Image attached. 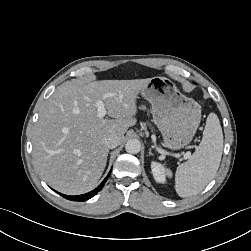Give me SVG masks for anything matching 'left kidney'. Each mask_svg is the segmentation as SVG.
<instances>
[{
    "instance_id": "1",
    "label": "left kidney",
    "mask_w": 251,
    "mask_h": 251,
    "mask_svg": "<svg viewBox=\"0 0 251 251\" xmlns=\"http://www.w3.org/2000/svg\"><path fill=\"white\" fill-rule=\"evenodd\" d=\"M151 170H152V174L156 182L162 183V184L166 182V170L162 164L158 162H152Z\"/></svg>"
}]
</instances>
